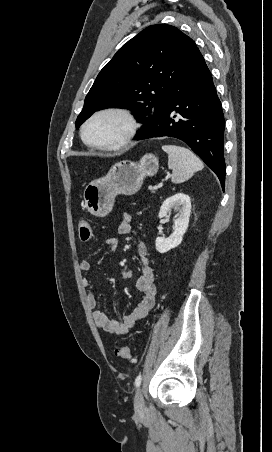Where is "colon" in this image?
<instances>
[{
  "instance_id": "colon-1",
  "label": "colon",
  "mask_w": 272,
  "mask_h": 452,
  "mask_svg": "<svg viewBox=\"0 0 272 452\" xmlns=\"http://www.w3.org/2000/svg\"><path fill=\"white\" fill-rule=\"evenodd\" d=\"M79 237L82 241H89L93 237V229L91 224L86 220H80L78 223ZM115 355L122 359L130 361L133 358L132 350L125 346L115 351Z\"/></svg>"
}]
</instances>
